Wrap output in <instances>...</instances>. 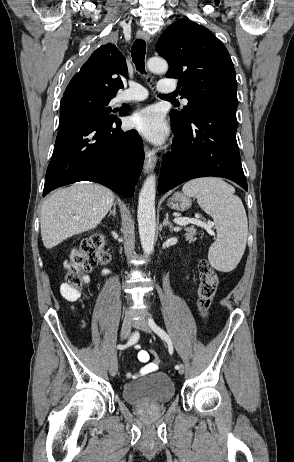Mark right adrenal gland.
<instances>
[{
  "label": "right adrenal gland",
  "instance_id": "right-adrenal-gland-1",
  "mask_svg": "<svg viewBox=\"0 0 294 462\" xmlns=\"http://www.w3.org/2000/svg\"><path fill=\"white\" fill-rule=\"evenodd\" d=\"M116 202L113 203V209L110 211L109 216H116Z\"/></svg>",
  "mask_w": 294,
  "mask_h": 462
}]
</instances>
